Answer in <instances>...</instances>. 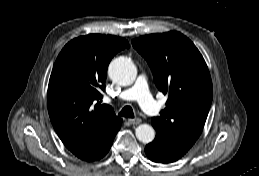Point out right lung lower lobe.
Returning <instances> with one entry per match:
<instances>
[{
	"label": "right lung lower lobe",
	"instance_id": "obj_1",
	"mask_svg": "<svg viewBox=\"0 0 259 176\" xmlns=\"http://www.w3.org/2000/svg\"><path fill=\"white\" fill-rule=\"evenodd\" d=\"M114 137L109 139L96 153H94L93 155L89 156L87 159H85V161H95V160H99L103 156H105L108 153V151H109V149H110V147L112 145Z\"/></svg>",
	"mask_w": 259,
	"mask_h": 176
}]
</instances>
